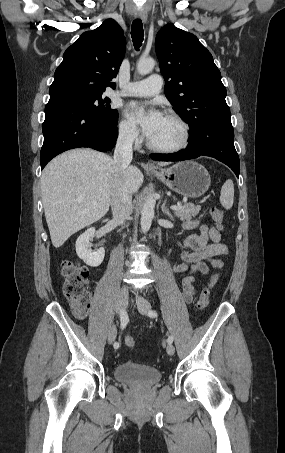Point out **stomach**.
Segmentation results:
<instances>
[{
	"label": "stomach",
	"instance_id": "1",
	"mask_svg": "<svg viewBox=\"0 0 285 453\" xmlns=\"http://www.w3.org/2000/svg\"><path fill=\"white\" fill-rule=\"evenodd\" d=\"M162 183L185 198L205 194L211 184L207 169L195 161L179 162L169 168L151 170Z\"/></svg>",
	"mask_w": 285,
	"mask_h": 453
}]
</instances>
